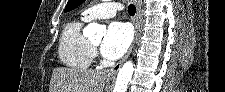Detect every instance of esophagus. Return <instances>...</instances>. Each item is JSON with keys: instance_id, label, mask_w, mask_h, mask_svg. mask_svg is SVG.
Instances as JSON below:
<instances>
[{"instance_id": "obj_1", "label": "esophagus", "mask_w": 225, "mask_h": 92, "mask_svg": "<svg viewBox=\"0 0 225 92\" xmlns=\"http://www.w3.org/2000/svg\"><path fill=\"white\" fill-rule=\"evenodd\" d=\"M133 2L136 6V16L134 18V27H135L134 40H133L130 48L128 49L127 53L125 54V56L109 70V75H116L119 72V70L121 69V67L127 60V58L129 57V55L134 47V44L137 41V38L139 36L140 21H141V0H133Z\"/></svg>"}]
</instances>
